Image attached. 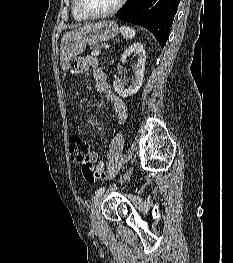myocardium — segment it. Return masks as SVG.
Here are the masks:
<instances>
[{
  "instance_id": "f54148a6",
  "label": "myocardium",
  "mask_w": 233,
  "mask_h": 263,
  "mask_svg": "<svg viewBox=\"0 0 233 263\" xmlns=\"http://www.w3.org/2000/svg\"><path fill=\"white\" fill-rule=\"evenodd\" d=\"M126 0H118L117 3L110 9L100 12V13H91L85 9L83 6V0H77L78 8L83 16L89 19H99L111 16L118 12L122 6L125 4Z\"/></svg>"
}]
</instances>
